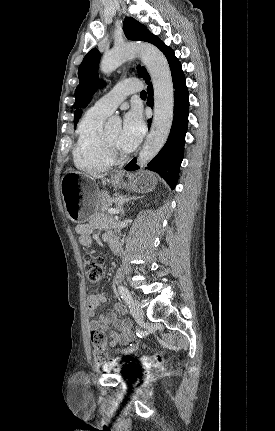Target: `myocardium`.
Returning <instances> with one entry per match:
<instances>
[{
    "label": "myocardium",
    "mask_w": 275,
    "mask_h": 431,
    "mask_svg": "<svg viewBox=\"0 0 275 431\" xmlns=\"http://www.w3.org/2000/svg\"><path fill=\"white\" fill-rule=\"evenodd\" d=\"M103 143H104L105 153L113 163H122L126 160L127 155L117 150L116 147L111 142H109V140L106 138V135L104 134H103Z\"/></svg>",
    "instance_id": "obj_1"
}]
</instances>
